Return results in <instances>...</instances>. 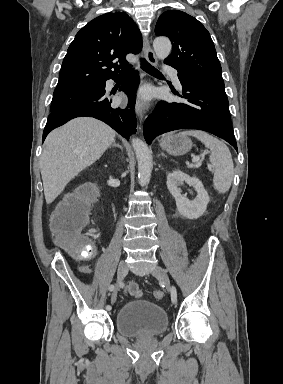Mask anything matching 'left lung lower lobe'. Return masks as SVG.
<instances>
[{
	"mask_svg": "<svg viewBox=\"0 0 283 384\" xmlns=\"http://www.w3.org/2000/svg\"><path fill=\"white\" fill-rule=\"evenodd\" d=\"M187 103L160 101L144 123L147 143L165 132L198 129L229 142L237 151L224 84L208 83L178 74Z\"/></svg>",
	"mask_w": 283,
	"mask_h": 384,
	"instance_id": "1",
	"label": "left lung lower lobe"
}]
</instances>
